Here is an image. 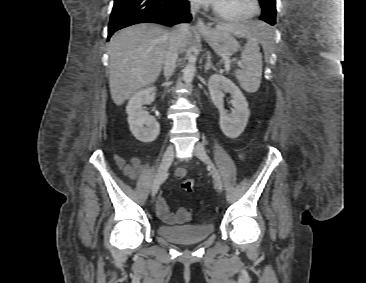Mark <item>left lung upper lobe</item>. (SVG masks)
I'll return each instance as SVG.
<instances>
[{"instance_id": "1", "label": "left lung upper lobe", "mask_w": 366, "mask_h": 283, "mask_svg": "<svg viewBox=\"0 0 366 283\" xmlns=\"http://www.w3.org/2000/svg\"><path fill=\"white\" fill-rule=\"evenodd\" d=\"M262 8L260 19L270 25L276 23V2L275 0H259Z\"/></svg>"}]
</instances>
